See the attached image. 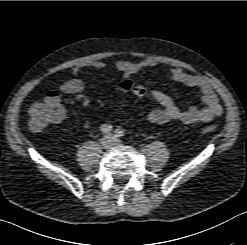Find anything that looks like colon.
<instances>
[{
  "label": "colon",
  "mask_w": 247,
  "mask_h": 245,
  "mask_svg": "<svg viewBox=\"0 0 247 245\" xmlns=\"http://www.w3.org/2000/svg\"><path fill=\"white\" fill-rule=\"evenodd\" d=\"M123 92H132L136 95H145L147 89L133 83L131 80H124L120 83ZM29 127L34 132L44 130L50 124L60 122L64 117L62 107L57 103H48L45 100L34 101L28 108ZM215 124H208L202 127L203 133L216 131Z\"/></svg>",
  "instance_id": "colon-1"
}]
</instances>
